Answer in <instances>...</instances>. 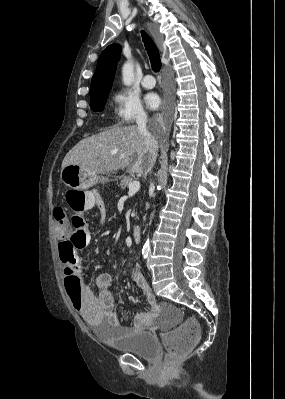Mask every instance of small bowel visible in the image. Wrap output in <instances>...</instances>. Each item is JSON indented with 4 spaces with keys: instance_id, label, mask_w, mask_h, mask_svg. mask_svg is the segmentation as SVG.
Listing matches in <instances>:
<instances>
[{
    "instance_id": "1",
    "label": "small bowel",
    "mask_w": 285,
    "mask_h": 399,
    "mask_svg": "<svg viewBox=\"0 0 285 399\" xmlns=\"http://www.w3.org/2000/svg\"><path fill=\"white\" fill-rule=\"evenodd\" d=\"M85 209L96 210L98 220L101 221L106 215V207L100 194L95 191L85 193ZM62 210H54V216L61 220ZM57 235L60 239H66L70 231L64 222L58 221L56 225ZM66 267V277L80 284L82 293L78 306L73 304L70 295L67 293L72 305L78 310L80 316L87 322L106 321L111 327L121 329V334H126L131 330H151L157 326L154 320L157 318L160 308L156 304L155 298L148 286L147 280L139 268H134L131 272V278L141 290L151 310L148 312H138L133 317L132 328L125 326L124 318L114 311L115 298L113 296L109 280L103 274H97L95 277V286L97 293H94L87 284L81 270L76 265ZM66 290V287H65Z\"/></svg>"
}]
</instances>
